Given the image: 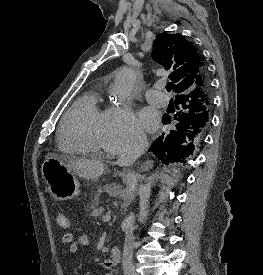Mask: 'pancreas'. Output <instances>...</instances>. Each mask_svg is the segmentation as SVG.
<instances>
[{
    "label": "pancreas",
    "instance_id": "pancreas-1",
    "mask_svg": "<svg viewBox=\"0 0 263 275\" xmlns=\"http://www.w3.org/2000/svg\"><path fill=\"white\" fill-rule=\"evenodd\" d=\"M98 201H99V195L97 194L95 197H94V200L91 204V209H92V213H91V216L92 217H100L103 215V213L105 212V209L103 207H98Z\"/></svg>",
    "mask_w": 263,
    "mask_h": 275
}]
</instances>
